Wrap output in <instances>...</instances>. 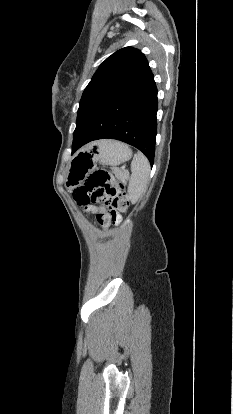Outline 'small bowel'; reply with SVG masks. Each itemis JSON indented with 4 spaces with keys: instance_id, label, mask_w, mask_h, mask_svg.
<instances>
[{
    "instance_id": "small-bowel-1",
    "label": "small bowel",
    "mask_w": 233,
    "mask_h": 414,
    "mask_svg": "<svg viewBox=\"0 0 233 414\" xmlns=\"http://www.w3.org/2000/svg\"><path fill=\"white\" fill-rule=\"evenodd\" d=\"M85 209L88 211V212H90V213H92V214H95V215H98L99 214V212H100V208H98V207H96V206H93V205H87V206H85ZM119 221V217L116 219V221L115 222H118Z\"/></svg>"
}]
</instances>
